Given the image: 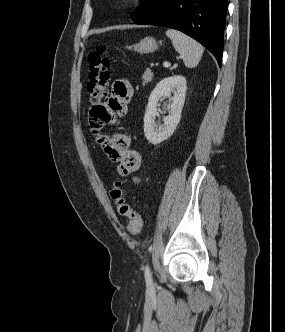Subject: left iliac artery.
I'll return each instance as SVG.
<instances>
[{
    "label": "left iliac artery",
    "mask_w": 285,
    "mask_h": 332,
    "mask_svg": "<svg viewBox=\"0 0 285 332\" xmlns=\"http://www.w3.org/2000/svg\"><path fill=\"white\" fill-rule=\"evenodd\" d=\"M145 270V279L148 283H151L152 279H151V270L149 265L147 264L144 268Z\"/></svg>",
    "instance_id": "left-iliac-artery-1"
}]
</instances>
